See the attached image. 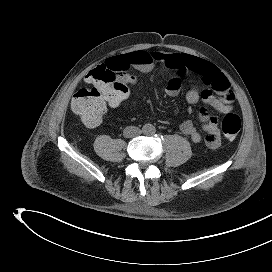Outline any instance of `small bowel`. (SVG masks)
<instances>
[{
    "label": "small bowel",
    "instance_id": "small-bowel-1",
    "mask_svg": "<svg viewBox=\"0 0 272 272\" xmlns=\"http://www.w3.org/2000/svg\"><path fill=\"white\" fill-rule=\"evenodd\" d=\"M104 65L123 68L124 73L120 77L132 85H140V82L128 72L129 68L147 74L158 67L164 79L165 93L171 97L179 95L185 80L191 78L193 85L185 93L188 104L203 102L221 114L233 109L235 93L226 76L215 65L196 56L139 50L113 56ZM200 121L206 133L205 137H202L190 120L184 121L180 129L192 142L196 144L204 142L211 149L218 148L221 144L218 117L208 114L203 109L200 113Z\"/></svg>",
    "mask_w": 272,
    "mask_h": 272
}]
</instances>
